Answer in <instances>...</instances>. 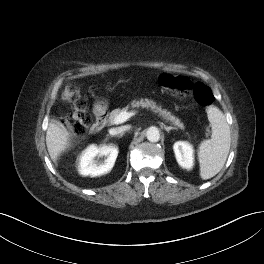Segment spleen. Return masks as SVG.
Listing matches in <instances>:
<instances>
[{
  "label": "spleen",
  "instance_id": "spleen-1",
  "mask_svg": "<svg viewBox=\"0 0 264 264\" xmlns=\"http://www.w3.org/2000/svg\"><path fill=\"white\" fill-rule=\"evenodd\" d=\"M211 124V139L203 141L198 149L200 177L204 180L214 177L223 168L231 145L230 128L225 115L217 107L207 108Z\"/></svg>",
  "mask_w": 264,
  "mask_h": 264
}]
</instances>
